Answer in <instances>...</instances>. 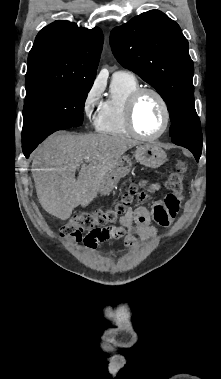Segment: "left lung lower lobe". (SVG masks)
<instances>
[{"mask_svg":"<svg viewBox=\"0 0 221 379\" xmlns=\"http://www.w3.org/2000/svg\"><path fill=\"white\" fill-rule=\"evenodd\" d=\"M181 146H182V145H181ZM183 147H185V146H183ZM185 148H188V147H185ZM188 149L194 154L196 160L198 161V159H199L200 156H201V152H198V151L193 150V149H191V148H188Z\"/></svg>","mask_w":221,"mask_h":379,"instance_id":"0a47b994","label":"left lung lower lobe"}]
</instances>
